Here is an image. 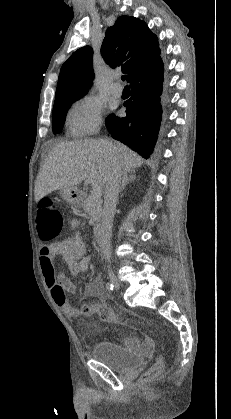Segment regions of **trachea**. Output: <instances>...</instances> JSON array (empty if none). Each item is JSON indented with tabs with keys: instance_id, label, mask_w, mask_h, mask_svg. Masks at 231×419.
<instances>
[{
	"instance_id": "3493384b",
	"label": "trachea",
	"mask_w": 231,
	"mask_h": 419,
	"mask_svg": "<svg viewBox=\"0 0 231 419\" xmlns=\"http://www.w3.org/2000/svg\"><path fill=\"white\" fill-rule=\"evenodd\" d=\"M126 79V75H123L122 76V80L124 81ZM128 86H126V88H127Z\"/></svg>"
}]
</instances>
